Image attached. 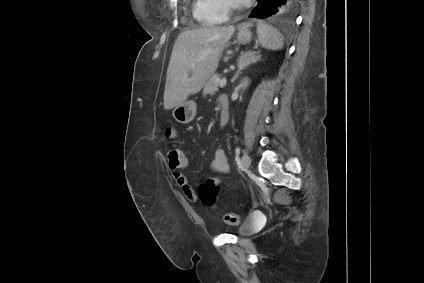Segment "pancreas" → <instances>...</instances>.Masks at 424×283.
<instances>
[{"mask_svg":"<svg viewBox=\"0 0 424 283\" xmlns=\"http://www.w3.org/2000/svg\"><path fill=\"white\" fill-rule=\"evenodd\" d=\"M219 79L220 78H219L218 74L211 76L209 78V80L207 81L204 89H203V94L204 95H207V94L213 95L215 92H217L218 91V85H219V83H218Z\"/></svg>","mask_w":424,"mask_h":283,"instance_id":"cf45deb5","label":"pancreas"}]
</instances>
